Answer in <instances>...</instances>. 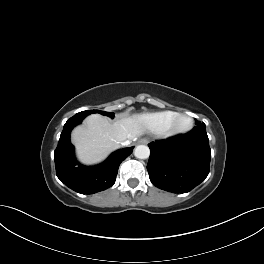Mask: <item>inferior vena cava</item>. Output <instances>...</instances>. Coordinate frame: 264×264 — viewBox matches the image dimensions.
Returning a JSON list of instances; mask_svg holds the SVG:
<instances>
[{"label":"inferior vena cava","instance_id":"1","mask_svg":"<svg viewBox=\"0 0 264 264\" xmlns=\"http://www.w3.org/2000/svg\"><path fill=\"white\" fill-rule=\"evenodd\" d=\"M131 143V141L129 139L125 140V141H122L121 142V145L122 146H128L129 144Z\"/></svg>","mask_w":264,"mask_h":264}]
</instances>
